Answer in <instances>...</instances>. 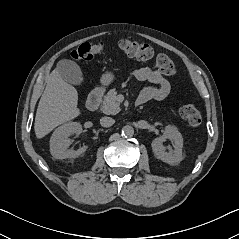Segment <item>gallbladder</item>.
<instances>
[{"label": "gallbladder", "mask_w": 239, "mask_h": 239, "mask_svg": "<svg viewBox=\"0 0 239 239\" xmlns=\"http://www.w3.org/2000/svg\"><path fill=\"white\" fill-rule=\"evenodd\" d=\"M57 69L67 82L74 85H80L83 82L81 69L74 61L68 59L60 60L57 64Z\"/></svg>", "instance_id": "obj_1"}]
</instances>
